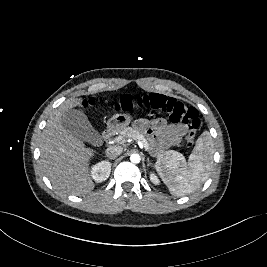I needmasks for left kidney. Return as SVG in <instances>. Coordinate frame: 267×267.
Wrapping results in <instances>:
<instances>
[{
	"label": "left kidney",
	"mask_w": 267,
	"mask_h": 267,
	"mask_svg": "<svg viewBox=\"0 0 267 267\" xmlns=\"http://www.w3.org/2000/svg\"><path fill=\"white\" fill-rule=\"evenodd\" d=\"M150 181L155 185H159L160 183L158 176L154 172H150Z\"/></svg>",
	"instance_id": "obj_1"
}]
</instances>
